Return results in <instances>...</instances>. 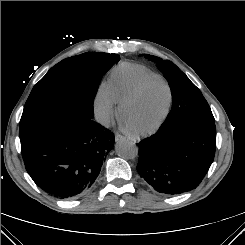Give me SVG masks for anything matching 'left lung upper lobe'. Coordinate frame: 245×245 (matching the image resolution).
Returning <instances> with one entry per match:
<instances>
[{
	"mask_svg": "<svg viewBox=\"0 0 245 245\" xmlns=\"http://www.w3.org/2000/svg\"><path fill=\"white\" fill-rule=\"evenodd\" d=\"M145 57L155 62L164 73L172 92L173 105L162 126L183 115H194L215 121L211 109L200 90L188 77L169 60L145 54Z\"/></svg>",
	"mask_w": 245,
	"mask_h": 245,
	"instance_id": "5c2ea615",
	"label": "left lung upper lobe"
}]
</instances>
